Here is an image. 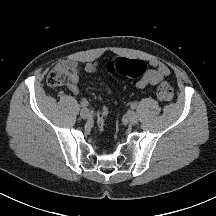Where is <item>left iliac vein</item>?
<instances>
[{"label": "left iliac vein", "mask_w": 216, "mask_h": 216, "mask_svg": "<svg viewBox=\"0 0 216 216\" xmlns=\"http://www.w3.org/2000/svg\"><path fill=\"white\" fill-rule=\"evenodd\" d=\"M127 119L133 125L137 124L139 120L137 113H135L134 111H130L127 114Z\"/></svg>", "instance_id": "obj_1"}]
</instances>
